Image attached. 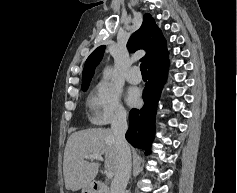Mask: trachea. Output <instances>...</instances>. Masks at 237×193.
I'll return each mask as SVG.
<instances>
[{
	"mask_svg": "<svg viewBox=\"0 0 237 193\" xmlns=\"http://www.w3.org/2000/svg\"><path fill=\"white\" fill-rule=\"evenodd\" d=\"M140 70L142 74H147V68H146V64L145 63H141L140 64Z\"/></svg>",
	"mask_w": 237,
	"mask_h": 193,
	"instance_id": "trachea-1",
	"label": "trachea"
}]
</instances>
